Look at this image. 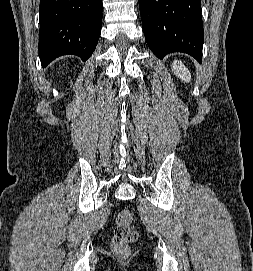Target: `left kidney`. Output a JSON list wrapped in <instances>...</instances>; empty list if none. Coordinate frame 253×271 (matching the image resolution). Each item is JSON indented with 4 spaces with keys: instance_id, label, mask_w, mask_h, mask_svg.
I'll list each match as a JSON object with an SVG mask.
<instances>
[{
    "instance_id": "1",
    "label": "left kidney",
    "mask_w": 253,
    "mask_h": 271,
    "mask_svg": "<svg viewBox=\"0 0 253 271\" xmlns=\"http://www.w3.org/2000/svg\"><path fill=\"white\" fill-rule=\"evenodd\" d=\"M171 68H172V71L174 72V75H176L183 82H186V83L190 82L191 74L181 61L175 60L172 63Z\"/></svg>"
}]
</instances>
